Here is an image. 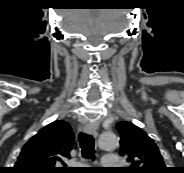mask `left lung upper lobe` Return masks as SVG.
<instances>
[{
  "label": "left lung upper lobe",
  "instance_id": "left-lung-upper-lobe-1",
  "mask_svg": "<svg viewBox=\"0 0 184 173\" xmlns=\"http://www.w3.org/2000/svg\"><path fill=\"white\" fill-rule=\"evenodd\" d=\"M121 135L120 154L131 163L121 173H166L167 168L153 140L133 123L122 121L116 124Z\"/></svg>",
  "mask_w": 184,
  "mask_h": 173
}]
</instances>
